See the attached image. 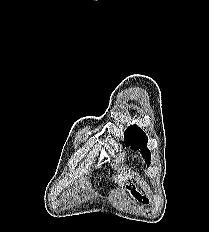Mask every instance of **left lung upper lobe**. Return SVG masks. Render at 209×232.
Returning a JSON list of instances; mask_svg holds the SVG:
<instances>
[{
    "label": "left lung upper lobe",
    "instance_id": "left-lung-upper-lobe-1",
    "mask_svg": "<svg viewBox=\"0 0 209 232\" xmlns=\"http://www.w3.org/2000/svg\"><path fill=\"white\" fill-rule=\"evenodd\" d=\"M124 140L127 145L135 149H141L144 153L145 162L149 165L151 154L147 148L148 138L145 132L137 125H131L125 130Z\"/></svg>",
    "mask_w": 209,
    "mask_h": 232
}]
</instances>
